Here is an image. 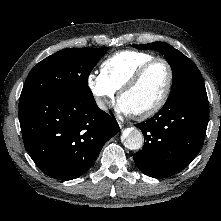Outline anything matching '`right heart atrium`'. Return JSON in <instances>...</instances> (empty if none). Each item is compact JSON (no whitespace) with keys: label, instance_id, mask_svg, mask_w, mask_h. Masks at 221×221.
<instances>
[{"label":"right heart atrium","instance_id":"d8ad5b80","mask_svg":"<svg viewBox=\"0 0 221 221\" xmlns=\"http://www.w3.org/2000/svg\"><path fill=\"white\" fill-rule=\"evenodd\" d=\"M87 86L95 98L96 105L106 110L115 98L116 90L107 82L101 72L87 75Z\"/></svg>","mask_w":221,"mask_h":221}]
</instances>
